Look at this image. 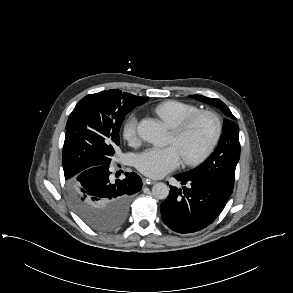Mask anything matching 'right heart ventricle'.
<instances>
[{"instance_id":"1","label":"right heart ventricle","mask_w":293,"mask_h":293,"mask_svg":"<svg viewBox=\"0 0 293 293\" xmlns=\"http://www.w3.org/2000/svg\"><path fill=\"white\" fill-rule=\"evenodd\" d=\"M199 111L200 108L198 106L177 100L164 101L155 107V112L170 127L176 126Z\"/></svg>"}]
</instances>
